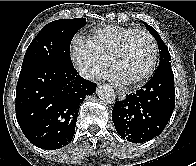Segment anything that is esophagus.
Masks as SVG:
<instances>
[{"mask_svg":"<svg viewBox=\"0 0 196 166\" xmlns=\"http://www.w3.org/2000/svg\"><path fill=\"white\" fill-rule=\"evenodd\" d=\"M116 93H117V97H118L119 100H124L125 99L126 94L124 92L117 91Z\"/></svg>","mask_w":196,"mask_h":166,"instance_id":"1","label":"esophagus"}]
</instances>
